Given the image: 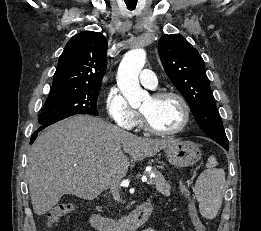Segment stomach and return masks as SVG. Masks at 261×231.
Instances as JSON below:
<instances>
[{
	"instance_id": "1",
	"label": "stomach",
	"mask_w": 261,
	"mask_h": 231,
	"mask_svg": "<svg viewBox=\"0 0 261 231\" xmlns=\"http://www.w3.org/2000/svg\"><path fill=\"white\" fill-rule=\"evenodd\" d=\"M169 163L175 167H188L194 165L201 158L197 144L190 141H179L164 148Z\"/></svg>"
}]
</instances>
